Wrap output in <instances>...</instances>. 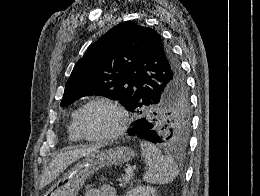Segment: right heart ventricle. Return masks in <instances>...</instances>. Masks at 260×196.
Masks as SVG:
<instances>
[{"label": "right heart ventricle", "instance_id": "right-heart-ventricle-1", "mask_svg": "<svg viewBox=\"0 0 260 196\" xmlns=\"http://www.w3.org/2000/svg\"><path fill=\"white\" fill-rule=\"evenodd\" d=\"M74 116H75V113L72 115V119H71L70 125L68 127V132H69L70 139L74 142H78L81 140V137L74 126Z\"/></svg>", "mask_w": 260, "mask_h": 196}]
</instances>
